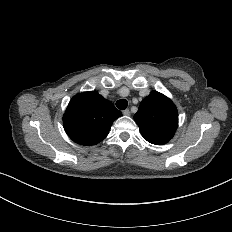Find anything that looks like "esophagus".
Here are the masks:
<instances>
[{
    "label": "esophagus",
    "mask_w": 232,
    "mask_h": 232,
    "mask_svg": "<svg viewBox=\"0 0 232 232\" xmlns=\"http://www.w3.org/2000/svg\"><path fill=\"white\" fill-rule=\"evenodd\" d=\"M122 113L125 116H129L130 115V110L129 109L123 110Z\"/></svg>",
    "instance_id": "34e87169"
}]
</instances>
